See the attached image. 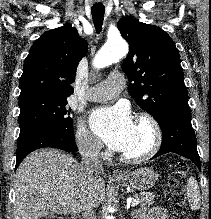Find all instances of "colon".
<instances>
[{"label":"colon","mask_w":211,"mask_h":219,"mask_svg":"<svg viewBox=\"0 0 211 219\" xmlns=\"http://www.w3.org/2000/svg\"><path fill=\"white\" fill-rule=\"evenodd\" d=\"M188 165L179 163L175 170L169 174L168 185L171 191L170 201L172 204V219H191L190 211L184 201V190L186 186V173ZM42 219H69L63 216L51 215Z\"/></svg>","instance_id":"5ec220e1"}]
</instances>
